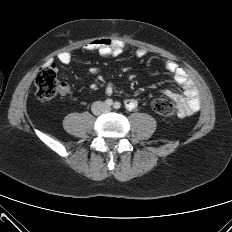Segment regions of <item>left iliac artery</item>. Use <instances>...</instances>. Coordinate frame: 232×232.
Returning a JSON list of instances; mask_svg holds the SVG:
<instances>
[{"label":"left iliac artery","mask_w":232,"mask_h":232,"mask_svg":"<svg viewBox=\"0 0 232 232\" xmlns=\"http://www.w3.org/2000/svg\"><path fill=\"white\" fill-rule=\"evenodd\" d=\"M120 107H121L120 102H115V103H114V108H115V109H119Z\"/></svg>","instance_id":"1"}]
</instances>
